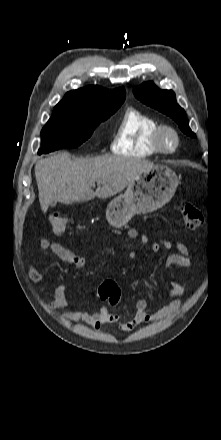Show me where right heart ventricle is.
Here are the masks:
<instances>
[{"mask_svg":"<svg viewBox=\"0 0 221 440\" xmlns=\"http://www.w3.org/2000/svg\"><path fill=\"white\" fill-rule=\"evenodd\" d=\"M159 122L153 117L128 108L116 128L111 150L122 156L149 157L159 152L154 146L153 135Z\"/></svg>","mask_w":221,"mask_h":440,"instance_id":"obj_1","label":"right heart ventricle"}]
</instances>
